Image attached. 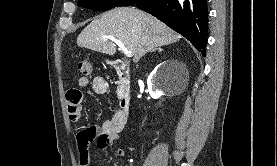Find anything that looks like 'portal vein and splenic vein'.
<instances>
[{"label":"portal vein and splenic vein","instance_id":"18ae733b","mask_svg":"<svg viewBox=\"0 0 277 166\" xmlns=\"http://www.w3.org/2000/svg\"><path fill=\"white\" fill-rule=\"evenodd\" d=\"M104 39H108L112 42H114L116 45H118L119 49L127 56V57H132V51L128 50L125 45L118 39L112 36H104Z\"/></svg>","mask_w":277,"mask_h":166}]
</instances>
